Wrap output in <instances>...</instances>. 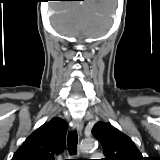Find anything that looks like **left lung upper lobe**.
<instances>
[{"instance_id":"1","label":"left lung upper lobe","mask_w":160,"mask_h":160,"mask_svg":"<svg viewBox=\"0 0 160 160\" xmlns=\"http://www.w3.org/2000/svg\"><path fill=\"white\" fill-rule=\"evenodd\" d=\"M92 134L103 147V160H145L134 142L110 123H96Z\"/></svg>"}]
</instances>
